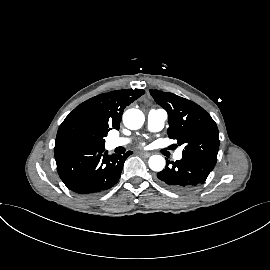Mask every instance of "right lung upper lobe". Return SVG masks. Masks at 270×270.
Instances as JSON below:
<instances>
[{
  "mask_svg": "<svg viewBox=\"0 0 270 270\" xmlns=\"http://www.w3.org/2000/svg\"><path fill=\"white\" fill-rule=\"evenodd\" d=\"M144 93L128 89L97 95L77 106L61 125L80 121L107 135L111 129H119L123 110Z\"/></svg>",
  "mask_w": 270,
  "mask_h": 270,
  "instance_id": "right-lung-upper-lobe-1",
  "label": "right lung upper lobe"
}]
</instances>
